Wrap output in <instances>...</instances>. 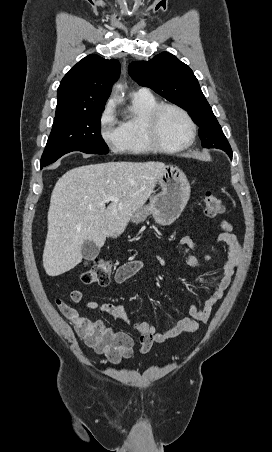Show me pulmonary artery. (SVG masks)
Wrapping results in <instances>:
<instances>
[{
	"instance_id": "obj_1",
	"label": "pulmonary artery",
	"mask_w": 272,
	"mask_h": 452,
	"mask_svg": "<svg viewBox=\"0 0 272 452\" xmlns=\"http://www.w3.org/2000/svg\"><path fill=\"white\" fill-rule=\"evenodd\" d=\"M137 93H150V91L147 88H141L137 91Z\"/></svg>"
}]
</instances>
